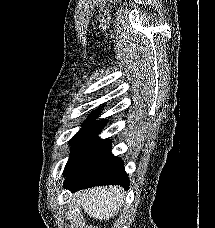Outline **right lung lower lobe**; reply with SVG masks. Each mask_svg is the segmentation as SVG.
<instances>
[{"mask_svg": "<svg viewBox=\"0 0 215 228\" xmlns=\"http://www.w3.org/2000/svg\"><path fill=\"white\" fill-rule=\"evenodd\" d=\"M99 185H121L125 189L129 186L123 162L111 153L110 144L73 171L64 181V187L71 192Z\"/></svg>", "mask_w": 215, "mask_h": 228, "instance_id": "right-lung-lower-lobe-1", "label": "right lung lower lobe"}]
</instances>
